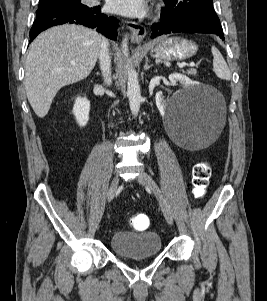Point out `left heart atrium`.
Masks as SVG:
<instances>
[{
    "label": "left heart atrium",
    "mask_w": 267,
    "mask_h": 301,
    "mask_svg": "<svg viewBox=\"0 0 267 301\" xmlns=\"http://www.w3.org/2000/svg\"><path fill=\"white\" fill-rule=\"evenodd\" d=\"M108 9L125 16H139L145 8V0H108Z\"/></svg>",
    "instance_id": "obj_1"
}]
</instances>
